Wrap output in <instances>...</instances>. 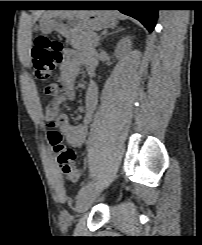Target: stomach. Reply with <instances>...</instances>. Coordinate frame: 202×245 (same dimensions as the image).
<instances>
[{
  "mask_svg": "<svg viewBox=\"0 0 202 245\" xmlns=\"http://www.w3.org/2000/svg\"><path fill=\"white\" fill-rule=\"evenodd\" d=\"M117 18L107 10H88L65 13L62 11H47L39 21V28L44 34L52 31L71 39L84 31L114 28Z\"/></svg>",
  "mask_w": 202,
  "mask_h": 245,
  "instance_id": "obj_1",
  "label": "stomach"
}]
</instances>
